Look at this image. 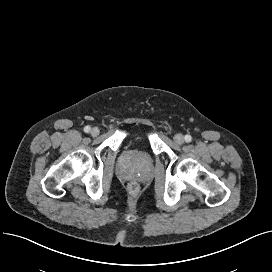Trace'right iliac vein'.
Segmentation results:
<instances>
[{"label":"right iliac vein","instance_id":"right-iliac-vein-1","mask_svg":"<svg viewBox=\"0 0 272 272\" xmlns=\"http://www.w3.org/2000/svg\"><path fill=\"white\" fill-rule=\"evenodd\" d=\"M99 133H100V130H99L98 127H94V128L91 129V135H92L93 137L98 136Z\"/></svg>","mask_w":272,"mask_h":272}]
</instances>
